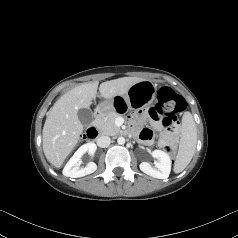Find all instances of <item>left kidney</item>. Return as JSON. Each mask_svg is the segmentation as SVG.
Wrapping results in <instances>:
<instances>
[{
  "mask_svg": "<svg viewBox=\"0 0 238 238\" xmlns=\"http://www.w3.org/2000/svg\"><path fill=\"white\" fill-rule=\"evenodd\" d=\"M150 154L152 155V157L157 159L155 166L152 167L148 162H142L139 165L140 170L154 178H168L172 164L170 156L162 150H153L152 152L150 151Z\"/></svg>",
  "mask_w": 238,
  "mask_h": 238,
  "instance_id": "left-kidney-1",
  "label": "left kidney"
}]
</instances>
